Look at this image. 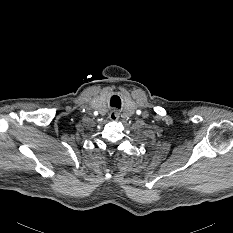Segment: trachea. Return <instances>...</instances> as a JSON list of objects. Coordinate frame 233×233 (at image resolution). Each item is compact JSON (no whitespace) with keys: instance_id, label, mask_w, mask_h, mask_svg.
Returning <instances> with one entry per match:
<instances>
[{"instance_id":"trachea-1","label":"trachea","mask_w":233,"mask_h":233,"mask_svg":"<svg viewBox=\"0 0 233 233\" xmlns=\"http://www.w3.org/2000/svg\"><path fill=\"white\" fill-rule=\"evenodd\" d=\"M110 106L120 108L121 101L117 96H113L110 101Z\"/></svg>"}]
</instances>
